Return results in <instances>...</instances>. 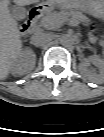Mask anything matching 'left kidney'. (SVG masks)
Wrapping results in <instances>:
<instances>
[{"mask_svg": "<svg viewBox=\"0 0 104 137\" xmlns=\"http://www.w3.org/2000/svg\"><path fill=\"white\" fill-rule=\"evenodd\" d=\"M89 62L93 63L94 65L98 66V67H103L104 65V61L103 59H101L99 56L95 55V56H91L89 57L88 60L83 61L80 64L81 69L84 71L86 69V67L89 65Z\"/></svg>", "mask_w": 104, "mask_h": 137, "instance_id": "left-kidney-1", "label": "left kidney"}]
</instances>
